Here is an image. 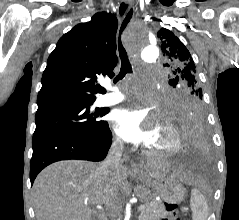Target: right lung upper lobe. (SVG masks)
Returning a JSON list of instances; mask_svg holds the SVG:
<instances>
[{"instance_id": "obj_1", "label": "right lung upper lobe", "mask_w": 239, "mask_h": 220, "mask_svg": "<svg viewBox=\"0 0 239 220\" xmlns=\"http://www.w3.org/2000/svg\"><path fill=\"white\" fill-rule=\"evenodd\" d=\"M117 19L112 14L97 13L64 34L50 54L38 93V109L93 103L97 75L113 77L117 64Z\"/></svg>"}]
</instances>
